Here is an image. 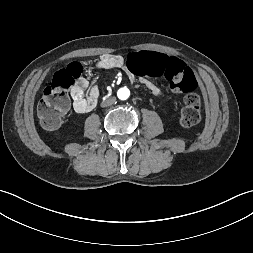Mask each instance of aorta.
<instances>
[{"instance_id":"1","label":"aorta","mask_w":253,"mask_h":253,"mask_svg":"<svg viewBox=\"0 0 253 253\" xmlns=\"http://www.w3.org/2000/svg\"><path fill=\"white\" fill-rule=\"evenodd\" d=\"M117 95L121 100H126L128 99L130 95V91L124 87V88L119 89Z\"/></svg>"}]
</instances>
